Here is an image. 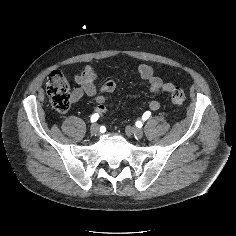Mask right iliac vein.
<instances>
[{
	"label": "right iliac vein",
	"mask_w": 236,
	"mask_h": 236,
	"mask_svg": "<svg viewBox=\"0 0 236 236\" xmlns=\"http://www.w3.org/2000/svg\"><path fill=\"white\" fill-rule=\"evenodd\" d=\"M90 132L92 135H96L99 133V127L97 124H93L90 128Z\"/></svg>",
	"instance_id": "right-iliac-vein-1"
}]
</instances>
